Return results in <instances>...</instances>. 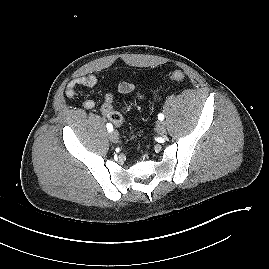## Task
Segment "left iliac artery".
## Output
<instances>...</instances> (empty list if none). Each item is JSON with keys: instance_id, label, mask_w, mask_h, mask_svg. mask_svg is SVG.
<instances>
[{"instance_id": "44dca946", "label": "left iliac artery", "mask_w": 269, "mask_h": 269, "mask_svg": "<svg viewBox=\"0 0 269 269\" xmlns=\"http://www.w3.org/2000/svg\"><path fill=\"white\" fill-rule=\"evenodd\" d=\"M158 119L162 121L164 119V115L162 113L158 114Z\"/></svg>"}]
</instances>
